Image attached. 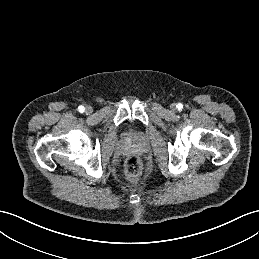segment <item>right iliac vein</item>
Wrapping results in <instances>:
<instances>
[{
	"label": "right iliac vein",
	"mask_w": 259,
	"mask_h": 259,
	"mask_svg": "<svg viewBox=\"0 0 259 259\" xmlns=\"http://www.w3.org/2000/svg\"><path fill=\"white\" fill-rule=\"evenodd\" d=\"M92 111H93V109L90 106L86 107V109H85L86 114H91Z\"/></svg>",
	"instance_id": "right-iliac-vein-1"
}]
</instances>
